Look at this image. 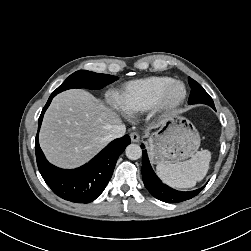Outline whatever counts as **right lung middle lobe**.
I'll return each instance as SVG.
<instances>
[{"label":"right lung middle lobe","instance_id":"dd1d6c3e","mask_svg":"<svg viewBox=\"0 0 251 251\" xmlns=\"http://www.w3.org/2000/svg\"><path fill=\"white\" fill-rule=\"evenodd\" d=\"M118 77L79 70L71 74L54 92L60 93L71 88L102 89L116 81Z\"/></svg>","mask_w":251,"mask_h":251}]
</instances>
